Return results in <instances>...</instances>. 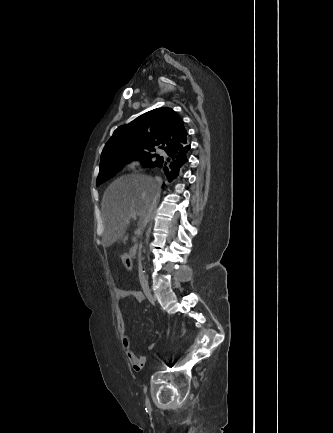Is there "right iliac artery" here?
<instances>
[{
  "instance_id": "82829eb1",
  "label": "right iliac artery",
  "mask_w": 333,
  "mask_h": 433,
  "mask_svg": "<svg viewBox=\"0 0 333 433\" xmlns=\"http://www.w3.org/2000/svg\"><path fill=\"white\" fill-rule=\"evenodd\" d=\"M144 391H146V388H145ZM145 404H146V407H147V408H150L151 405H150V401H149L148 398L146 399Z\"/></svg>"
}]
</instances>
